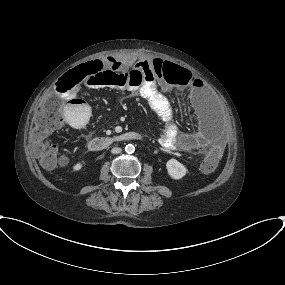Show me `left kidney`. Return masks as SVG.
Listing matches in <instances>:
<instances>
[{
    "instance_id": "obj_1",
    "label": "left kidney",
    "mask_w": 285,
    "mask_h": 285,
    "mask_svg": "<svg viewBox=\"0 0 285 285\" xmlns=\"http://www.w3.org/2000/svg\"><path fill=\"white\" fill-rule=\"evenodd\" d=\"M166 169L172 179L179 180L186 175L187 169L176 159H170L166 163Z\"/></svg>"
}]
</instances>
